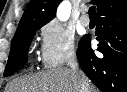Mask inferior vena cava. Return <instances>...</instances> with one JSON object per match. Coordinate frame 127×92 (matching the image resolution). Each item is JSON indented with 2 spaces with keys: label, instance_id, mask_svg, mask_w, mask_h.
Returning <instances> with one entry per match:
<instances>
[{
  "label": "inferior vena cava",
  "instance_id": "1",
  "mask_svg": "<svg viewBox=\"0 0 127 92\" xmlns=\"http://www.w3.org/2000/svg\"><path fill=\"white\" fill-rule=\"evenodd\" d=\"M68 65L70 66L71 70L74 72L79 71L78 69V63L75 53L72 54V56L68 60ZM80 92H88V85L85 80L81 81V90Z\"/></svg>",
  "mask_w": 127,
  "mask_h": 92
}]
</instances>
